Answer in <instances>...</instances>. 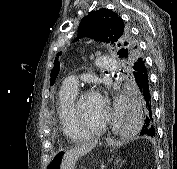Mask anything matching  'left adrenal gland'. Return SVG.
Instances as JSON below:
<instances>
[{"instance_id":"obj_1","label":"left adrenal gland","mask_w":177,"mask_h":169,"mask_svg":"<svg viewBox=\"0 0 177 169\" xmlns=\"http://www.w3.org/2000/svg\"><path fill=\"white\" fill-rule=\"evenodd\" d=\"M121 162V163H120ZM118 163H120V165H119V168L123 165V163H124V161L123 160H116V162H115V164H118Z\"/></svg>"}]
</instances>
